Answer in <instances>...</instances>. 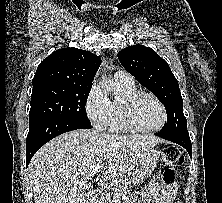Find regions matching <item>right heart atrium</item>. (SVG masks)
Here are the masks:
<instances>
[{
  "label": "right heart atrium",
  "mask_w": 222,
  "mask_h": 203,
  "mask_svg": "<svg viewBox=\"0 0 222 203\" xmlns=\"http://www.w3.org/2000/svg\"><path fill=\"white\" fill-rule=\"evenodd\" d=\"M111 108V100L98 85L94 84L88 93L85 110L95 128L105 129L108 127Z\"/></svg>",
  "instance_id": "1"
}]
</instances>
